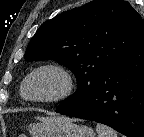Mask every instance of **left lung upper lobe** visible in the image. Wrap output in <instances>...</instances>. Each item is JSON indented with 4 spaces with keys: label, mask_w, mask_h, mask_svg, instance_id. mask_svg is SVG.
Wrapping results in <instances>:
<instances>
[{
    "label": "left lung upper lobe",
    "mask_w": 144,
    "mask_h": 137,
    "mask_svg": "<svg viewBox=\"0 0 144 137\" xmlns=\"http://www.w3.org/2000/svg\"><path fill=\"white\" fill-rule=\"evenodd\" d=\"M144 21L127 1L94 0L46 21L29 42L25 60H55L74 72L78 87L62 104L82 98L135 45Z\"/></svg>",
    "instance_id": "5c2ea615"
}]
</instances>
